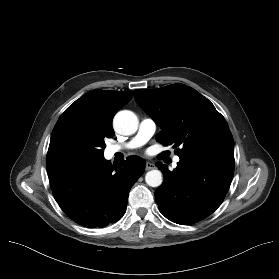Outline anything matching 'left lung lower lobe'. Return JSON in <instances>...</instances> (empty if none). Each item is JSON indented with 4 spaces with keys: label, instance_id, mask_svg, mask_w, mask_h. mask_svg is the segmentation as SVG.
<instances>
[{
    "label": "left lung lower lobe",
    "instance_id": "left-lung-lower-lobe-1",
    "mask_svg": "<svg viewBox=\"0 0 279 279\" xmlns=\"http://www.w3.org/2000/svg\"><path fill=\"white\" fill-rule=\"evenodd\" d=\"M171 172L160 162L164 175L155 192L160 212L170 221L187 225L212 214L222 203L234 174V157L180 156Z\"/></svg>",
    "mask_w": 279,
    "mask_h": 279
}]
</instances>
